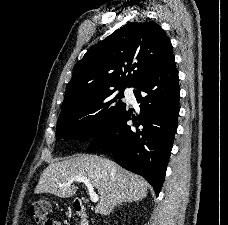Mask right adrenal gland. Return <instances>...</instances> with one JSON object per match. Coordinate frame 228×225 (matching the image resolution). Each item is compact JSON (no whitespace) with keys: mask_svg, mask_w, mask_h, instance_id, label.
Listing matches in <instances>:
<instances>
[{"mask_svg":"<svg viewBox=\"0 0 228 225\" xmlns=\"http://www.w3.org/2000/svg\"><path fill=\"white\" fill-rule=\"evenodd\" d=\"M119 205H122V203H119ZM124 205H126L125 201H124Z\"/></svg>","mask_w":228,"mask_h":225,"instance_id":"right-adrenal-gland-1","label":"right adrenal gland"}]
</instances>
